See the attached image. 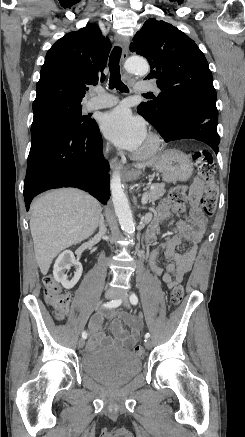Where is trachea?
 Returning a JSON list of instances; mask_svg holds the SVG:
<instances>
[{
    "mask_svg": "<svg viewBox=\"0 0 245 437\" xmlns=\"http://www.w3.org/2000/svg\"><path fill=\"white\" fill-rule=\"evenodd\" d=\"M122 53V48L120 46H115L111 52L109 59V70H110V80H109V88L110 89H118L121 92H128V88L121 81L120 75V57ZM146 95H150L147 93Z\"/></svg>",
    "mask_w": 245,
    "mask_h": 437,
    "instance_id": "3493384b",
    "label": "trachea"
}]
</instances>
